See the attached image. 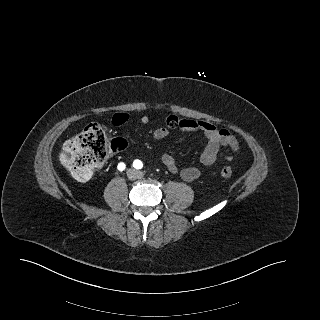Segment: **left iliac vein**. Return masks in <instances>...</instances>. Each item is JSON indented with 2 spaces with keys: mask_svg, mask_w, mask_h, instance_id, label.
Listing matches in <instances>:
<instances>
[{
  "mask_svg": "<svg viewBox=\"0 0 320 320\" xmlns=\"http://www.w3.org/2000/svg\"><path fill=\"white\" fill-rule=\"evenodd\" d=\"M137 174H138L139 176H143V172H141V171H138Z\"/></svg>",
  "mask_w": 320,
  "mask_h": 320,
  "instance_id": "1",
  "label": "left iliac vein"
}]
</instances>
